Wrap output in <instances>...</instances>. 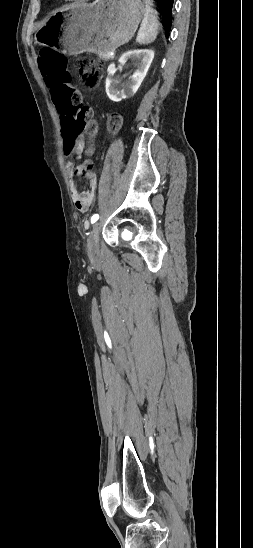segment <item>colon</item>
<instances>
[{
	"instance_id": "colon-1",
	"label": "colon",
	"mask_w": 253,
	"mask_h": 548,
	"mask_svg": "<svg viewBox=\"0 0 253 548\" xmlns=\"http://www.w3.org/2000/svg\"><path fill=\"white\" fill-rule=\"evenodd\" d=\"M38 60L44 82L48 83L49 96L59 112L61 136L66 139V144L72 145L73 139L82 137L84 132L94 135L96 124L91 120L89 109L82 104V95L76 91V81L70 80L68 60L50 48H42ZM76 69L83 88L96 87L103 76L102 64L89 57H79L76 60ZM121 123V116L112 114L108 119L109 131H118ZM77 170L86 177L94 175L90 161L80 164Z\"/></svg>"
}]
</instances>
